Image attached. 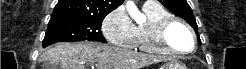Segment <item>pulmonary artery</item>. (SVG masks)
<instances>
[{
  "label": "pulmonary artery",
  "mask_w": 246,
  "mask_h": 69,
  "mask_svg": "<svg viewBox=\"0 0 246 69\" xmlns=\"http://www.w3.org/2000/svg\"><path fill=\"white\" fill-rule=\"evenodd\" d=\"M146 3H156V2H153V1H146Z\"/></svg>",
  "instance_id": "1"
}]
</instances>
